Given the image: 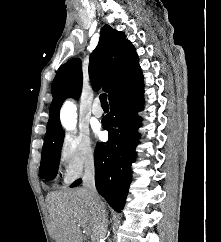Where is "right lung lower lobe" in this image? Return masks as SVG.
Listing matches in <instances>:
<instances>
[{"mask_svg": "<svg viewBox=\"0 0 221 242\" xmlns=\"http://www.w3.org/2000/svg\"><path fill=\"white\" fill-rule=\"evenodd\" d=\"M142 94L141 72L118 86L109 98L111 111L103 122L109 139L106 143H98L94 153L97 191L117 212L125 205L131 182V164L136 157L139 138L140 117L137 112L142 110ZM80 183L81 180H77L71 187Z\"/></svg>", "mask_w": 221, "mask_h": 242, "instance_id": "1", "label": "right lung lower lobe"}]
</instances>
